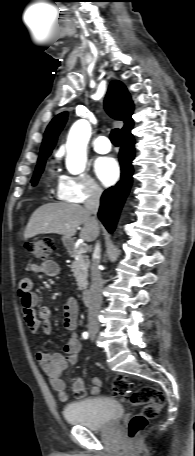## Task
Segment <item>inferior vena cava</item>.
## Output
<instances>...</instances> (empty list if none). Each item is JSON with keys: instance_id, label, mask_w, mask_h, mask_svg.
I'll return each instance as SVG.
<instances>
[{"instance_id": "1", "label": "inferior vena cava", "mask_w": 195, "mask_h": 456, "mask_svg": "<svg viewBox=\"0 0 195 456\" xmlns=\"http://www.w3.org/2000/svg\"><path fill=\"white\" fill-rule=\"evenodd\" d=\"M102 189L94 185L90 189V194L87 200L85 201V208L86 210L93 216H91V220L97 223L96 215L100 205V197L102 195ZM100 243L97 242L95 245L92 263H91V287H90V303L88 307V322L89 327H96L98 328V315L100 311V307L102 304V287H103V280L99 271V264H100Z\"/></svg>"}]
</instances>
